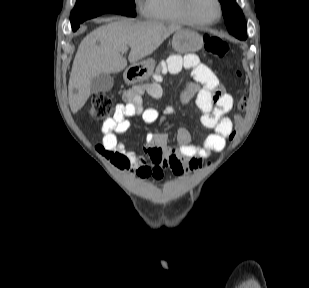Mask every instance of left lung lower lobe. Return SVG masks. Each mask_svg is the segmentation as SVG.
<instances>
[{
	"label": "left lung lower lobe",
	"mask_w": 309,
	"mask_h": 288,
	"mask_svg": "<svg viewBox=\"0 0 309 288\" xmlns=\"http://www.w3.org/2000/svg\"><path fill=\"white\" fill-rule=\"evenodd\" d=\"M236 38L240 39V40H245L247 38V35H238V34H235L234 35Z\"/></svg>",
	"instance_id": "obj_1"
}]
</instances>
